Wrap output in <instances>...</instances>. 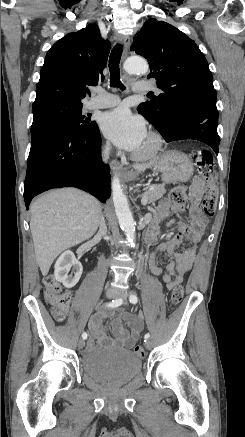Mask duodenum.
I'll return each mask as SVG.
<instances>
[{
	"instance_id": "obj_1",
	"label": "duodenum",
	"mask_w": 245,
	"mask_h": 437,
	"mask_svg": "<svg viewBox=\"0 0 245 437\" xmlns=\"http://www.w3.org/2000/svg\"><path fill=\"white\" fill-rule=\"evenodd\" d=\"M145 239H146L147 243H151L152 242L153 236H152V234L149 231L147 232Z\"/></svg>"
}]
</instances>
